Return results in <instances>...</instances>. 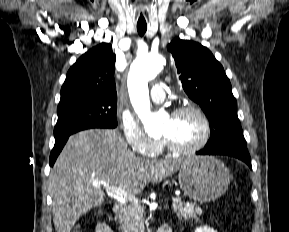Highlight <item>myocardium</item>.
Masks as SVG:
<instances>
[{
  "label": "myocardium",
  "instance_id": "1",
  "mask_svg": "<svg viewBox=\"0 0 289 232\" xmlns=\"http://www.w3.org/2000/svg\"><path fill=\"white\" fill-rule=\"evenodd\" d=\"M189 111L194 112L200 118V120L203 124V129H204L203 135L197 143H195L191 146H178V145L174 144L173 142H171L169 139L163 137V142H164L165 146L172 153L190 154V153L197 152V151L201 150L203 147H205L206 144L210 140L211 132H212L211 123H210L209 118L207 117L206 113L199 106L194 105V104H186V105L179 106L172 111L170 116L176 117L182 113L189 112Z\"/></svg>",
  "mask_w": 289,
  "mask_h": 232
}]
</instances>
